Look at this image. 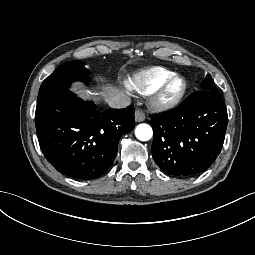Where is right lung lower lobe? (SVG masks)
<instances>
[{
	"instance_id": "98d812e1",
	"label": "right lung lower lobe",
	"mask_w": 255,
	"mask_h": 255,
	"mask_svg": "<svg viewBox=\"0 0 255 255\" xmlns=\"http://www.w3.org/2000/svg\"><path fill=\"white\" fill-rule=\"evenodd\" d=\"M35 124L40 148L57 171L94 179L110 168L119 139L135 127L134 107L100 113L64 91L37 104Z\"/></svg>"
}]
</instances>
